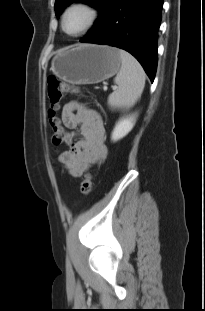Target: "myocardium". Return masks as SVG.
Listing matches in <instances>:
<instances>
[{
  "label": "myocardium",
  "mask_w": 205,
  "mask_h": 311,
  "mask_svg": "<svg viewBox=\"0 0 205 311\" xmlns=\"http://www.w3.org/2000/svg\"><path fill=\"white\" fill-rule=\"evenodd\" d=\"M75 8H81V9L86 10L88 13V21L86 25L80 31L76 33H69L66 31L65 22H66L68 13ZM98 18H99V10L92 3L86 0H75L69 3L67 7L64 9V12L61 18V28L66 35L71 36V37H78V36L85 34L89 30H91L93 26L96 24Z\"/></svg>",
  "instance_id": "f54148a6"
}]
</instances>
